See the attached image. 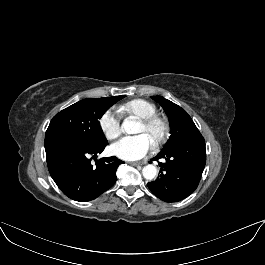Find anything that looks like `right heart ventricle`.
I'll return each mask as SVG.
<instances>
[{
    "mask_svg": "<svg viewBox=\"0 0 265 265\" xmlns=\"http://www.w3.org/2000/svg\"><path fill=\"white\" fill-rule=\"evenodd\" d=\"M119 111L121 113L135 115L141 119L157 114V107L150 101L134 99L121 105Z\"/></svg>",
    "mask_w": 265,
    "mask_h": 265,
    "instance_id": "obj_1",
    "label": "right heart ventricle"
}]
</instances>
